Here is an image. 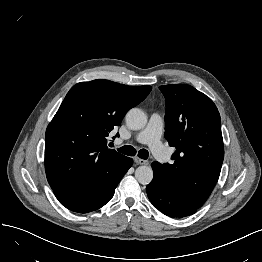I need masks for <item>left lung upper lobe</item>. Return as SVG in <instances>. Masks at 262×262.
<instances>
[{"mask_svg":"<svg viewBox=\"0 0 262 262\" xmlns=\"http://www.w3.org/2000/svg\"><path fill=\"white\" fill-rule=\"evenodd\" d=\"M166 98L165 138L176 147L173 164H161L167 184L200 208L221 171L224 145L221 118L213 101L186 84L159 87Z\"/></svg>","mask_w":262,"mask_h":262,"instance_id":"left-lung-upper-lobe-1","label":"left lung upper lobe"}]
</instances>
